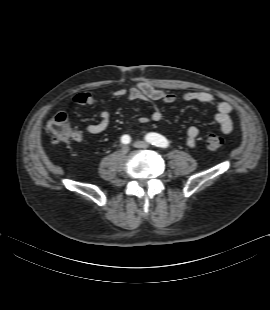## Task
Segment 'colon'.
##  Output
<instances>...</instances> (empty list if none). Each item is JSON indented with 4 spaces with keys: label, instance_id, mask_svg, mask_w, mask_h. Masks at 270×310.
Listing matches in <instances>:
<instances>
[{
    "label": "colon",
    "instance_id": "1",
    "mask_svg": "<svg viewBox=\"0 0 270 310\" xmlns=\"http://www.w3.org/2000/svg\"><path fill=\"white\" fill-rule=\"evenodd\" d=\"M49 132L58 142L68 143L76 141L79 133L73 130L69 124L68 115L65 112L55 114L47 124ZM223 138L219 135H209L206 138V146L208 149L216 150L223 145Z\"/></svg>",
    "mask_w": 270,
    "mask_h": 310
}]
</instances>
